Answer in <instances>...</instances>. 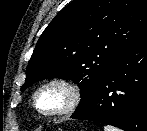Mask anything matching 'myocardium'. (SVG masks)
Segmentation results:
<instances>
[{
    "label": "myocardium",
    "instance_id": "myocardium-1",
    "mask_svg": "<svg viewBox=\"0 0 147 131\" xmlns=\"http://www.w3.org/2000/svg\"><path fill=\"white\" fill-rule=\"evenodd\" d=\"M58 87L66 94L65 105L55 111H43L37 105L38 95L46 88ZM32 106L36 112L46 118L64 117L74 113L82 101V90L80 86L72 79L67 77H53L45 80L32 93Z\"/></svg>",
    "mask_w": 147,
    "mask_h": 131
}]
</instances>
